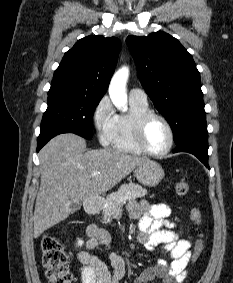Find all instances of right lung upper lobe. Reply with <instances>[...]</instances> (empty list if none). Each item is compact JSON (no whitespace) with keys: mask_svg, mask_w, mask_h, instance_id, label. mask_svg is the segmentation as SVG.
Returning <instances> with one entry per match:
<instances>
[{"mask_svg":"<svg viewBox=\"0 0 233 283\" xmlns=\"http://www.w3.org/2000/svg\"><path fill=\"white\" fill-rule=\"evenodd\" d=\"M120 40L99 35L84 37L64 54L51 88H65L102 98L114 73Z\"/></svg>","mask_w":233,"mask_h":283,"instance_id":"right-lung-upper-lobe-1","label":"right lung upper lobe"}]
</instances>
